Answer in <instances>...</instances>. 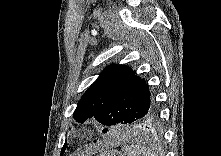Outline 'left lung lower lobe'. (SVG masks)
I'll use <instances>...</instances> for the list:
<instances>
[{
  "label": "left lung lower lobe",
  "instance_id": "left-lung-lower-lobe-1",
  "mask_svg": "<svg viewBox=\"0 0 221 156\" xmlns=\"http://www.w3.org/2000/svg\"><path fill=\"white\" fill-rule=\"evenodd\" d=\"M158 112L157 108L148 114L147 116H143L140 119L134 121L132 124L138 128H152L155 127L156 124L159 122L158 120Z\"/></svg>",
  "mask_w": 221,
  "mask_h": 156
}]
</instances>
